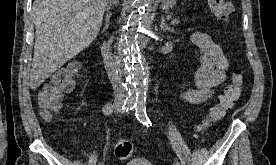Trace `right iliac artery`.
Listing matches in <instances>:
<instances>
[{
	"instance_id": "82829eb1",
	"label": "right iliac artery",
	"mask_w": 276,
	"mask_h": 165,
	"mask_svg": "<svg viewBox=\"0 0 276 165\" xmlns=\"http://www.w3.org/2000/svg\"><path fill=\"white\" fill-rule=\"evenodd\" d=\"M136 100L134 99H129L127 101L124 102L123 106H122V111H130L132 109H134V107L136 106ZM114 110V106L112 104H106L104 107H103V113L104 115H111L112 112ZM98 165H103L102 163H99Z\"/></svg>"
}]
</instances>
